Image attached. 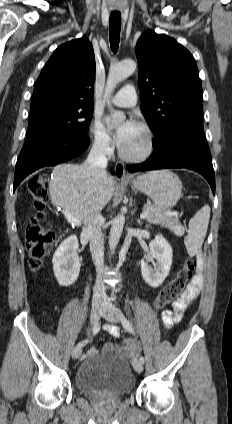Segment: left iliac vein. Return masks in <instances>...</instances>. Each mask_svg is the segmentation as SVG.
Returning a JSON list of instances; mask_svg holds the SVG:
<instances>
[{
  "label": "left iliac vein",
  "instance_id": "obj_1",
  "mask_svg": "<svg viewBox=\"0 0 232 424\" xmlns=\"http://www.w3.org/2000/svg\"><path fill=\"white\" fill-rule=\"evenodd\" d=\"M102 316L109 322H119L123 317L121 311L110 304L103 308ZM132 364L137 373L143 371V363L141 361L135 359Z\"/></svg>",
  "mask_w": 232,
  "mask_h": 424
}]
</instances>
